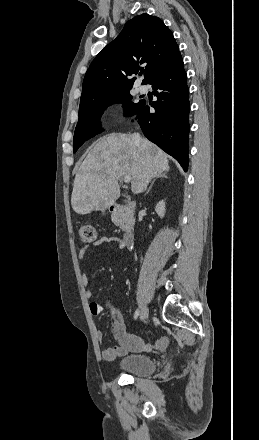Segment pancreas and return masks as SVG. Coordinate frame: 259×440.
<instances>
[{
    "mask_svg": "<svg viewBox=\"0 0 259 440\" xmlns=\"http://www.w3.org/2000/svg\"><path fill=\"white\" fill-rule=\"evenodd\" d=\"M113 222L124 231L130 227V219L124 210L120 212L117 218L113 219Z\"/></svg>",
    "mask_w": 259,
    "mask_h": 440,
    "instance_id": "obj_1",
    "label": "pancreas"
}]
</instances>
